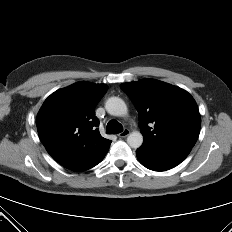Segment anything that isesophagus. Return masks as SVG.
Instances as JSON below:
<instances>
[{
	"label": "esophagus",
	"mask_w": 232,
	"mask_h": 232,
	"mask_svg": "<svg viewBox=\"0 0 232 232\" xmlns=\"http://www.w3.org/2000/svg\"><path fill=\"white\" fill-rule=\"evenodd\" d=\"M129 134H130V130L126 128V129H124L121 133H119L118 136H119L120 138H125V137H127Z\"/></svg>",
	"instance_id": "obj_1"
}]
</instances>
